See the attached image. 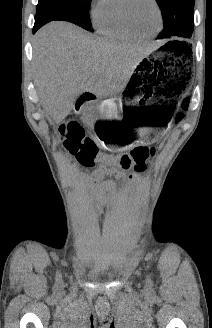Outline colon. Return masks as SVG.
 <instances>
[{
    "mask_svg": "<svg viewBox=\"0 0 212 328\" xmlns=\"http://www.w3.org/2000/svg\"><path fill=\"white\" fill-rule=\"evenodd\" d=\"M188 106L189 98H185L182 103L183 111L177 114L176 122L183 119L184 111L188 109ZM59 133L60 141L65 149L85 167H93L96 164L95 168L98 173H111L112 170L142 172L146 169L147 160L156 153L155 147L139 146L130 153H108L107 155L102 151L98 141L87 135L84 127L77 121L62 124Z\"/></svg>",
    "mask_w": 212,
    "mask_h": 328,
    "instance_id": "colon-1",
    "label": "colon"
}]
</instances>
